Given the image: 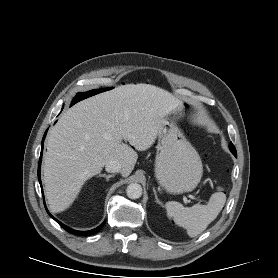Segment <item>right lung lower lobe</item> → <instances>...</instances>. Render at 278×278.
I'll return each mask as SVG.
<instances>
[{
  "label": "right lung lower lobe",
  "instance_id": "obj_1",
  "mask_svg": "<svg viewBox=\"0 0 278 278\" xmlns=\"http://www.w3.org/2000/svg\"><path fill=\"white\" fill-rule=\"evenodd\" d=\"M46 136V132L44 134V137H43V140H42V150H43V141H44V138ZM41 159H42V151H41V155H40V159H39V164H38V179H39V182H40V185H41V180H40V165H41ZM47 210V209H46ZM48 212V210H47ZM48 214L55 220L59 223V225L64 228L66 231L70 232V233H73V234H76V235H82V236H88V235H92L96 232H98L104 225L105 221L100 225L98 226L97 228L95 229H92V230H89V231H76L74 229H71L69 228L68 226L62 224L60 221H58L57 219H55L49 212Z\"/></svg>",
  "mask_w": 278,
  "mask_h": 278
}]
</instances>
